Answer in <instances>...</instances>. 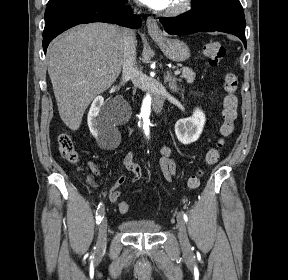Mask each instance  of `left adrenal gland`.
I'll return each instance as SVG.
<instances>
[{"label":"left adrenal gland","mask_w":288,"mask_h":280,"mask_svg":"<svg viewBox=\"0 0 288 280\" xmlns=\"http://www.w3.org/2000/svg\"><path fill=\"white\" fill-rule=\"evenodd\" d=\"M165 82L168 83V86L171 91L177 92V82H181V79H177L176 77H173L169 71H167L165 76Z\"/></svg>","instance_id":"left-adrenal-gland-1"}]
</instances>
